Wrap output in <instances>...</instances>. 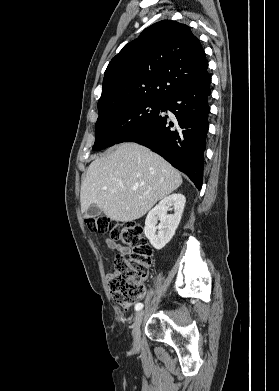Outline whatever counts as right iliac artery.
I'll return each instance as SVG.
<instances>
[{
    "label": "right iliac artery",
    "mask_w": 279,
    "mask_h": 391,
    "mask_svg": "<svg viewBox=\"0 0 279 391\" xmlns=\"http://www.w3.org/2000/svg\"><path fill=\"white\" fill-rule=\"evenodd\" d=\"M143 308V304L142 303H137L136 305H135V310L136 311H139V310H141Z\"/></svg>",
    "instance_id": "1"
}]
</instances>
